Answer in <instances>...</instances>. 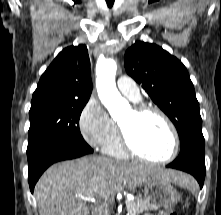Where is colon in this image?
<instances>
[{"label":"colon","mask_w":221,"mask_h":215,"mask_svg":"<svg viewBox=\"0 0 221 215\" xmlns=\"http://www.w3.org/2000/svg\"><path fill=\"white\" fill-rule=\"evenodd\" d=\"M158 215H178L175 211L168 210V211H161Z\"/></svg>","instance_id":"obj_1"}]
</instances>
